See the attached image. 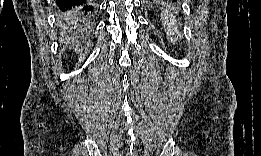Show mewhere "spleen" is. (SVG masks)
Returning a JSON list of instances; mask_svg holds the SVG:
<instances>
[{
    "label": "spleen",
    "mask_w": 261,
    "mask_h": 156,
    "mask_svg": "<svg viewBox=\"0 0 261 156\" xmlns=\"http://www.w3.org/2000/svg\"><path fill=\"white\" fill-rule=\"evenodd\" d=\"M161 18L163 25L166 29L167 37L174 44L177 39L181 37V32L179 31V26L177 25V20L173 13L169 10L162 11Z\"/></svg>",
    "instance_id": "3e777b00"
}]
</instances>
